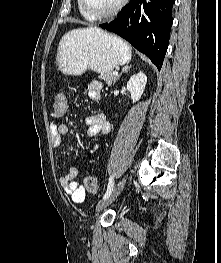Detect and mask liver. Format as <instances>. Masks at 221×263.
<instances>
[{
    "instance_id": "1",
    "label": "liver",
    "mask_w": 221,
    "mask_h": 263,
    "mask_svg": "<svg viewBox=\"0 0 221 263\" xmlns=\"http://www.w3.org/2000/svg\"><path fill=\"white\" fill-rule=\"evenodd\" d=\"M87 29H89V31H97V30H99L98 28H95V27H90V28H87Z\"/></svg>"
}]
</instances>
